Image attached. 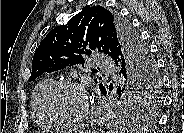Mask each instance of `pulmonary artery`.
Returning <instances> with one entry per match:
<instances>
[{
	"label": "pulmonary artery",
	"mask_w": 184,
	"mask_h": 133,
	"mask_svg": "<svg viewBox=\"0 0 184 133\" xmlns=\"http://www.w3.org/2000/svg\"><path fill=\"white\" fill-rule=\"evenodd\" d=\"M95 61L99 69L106 71L114 68L113 61L106 56L100 55L95 57Z\"/></svg>",
	"instance_id": "1"
}]
</instances>
